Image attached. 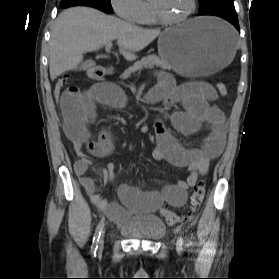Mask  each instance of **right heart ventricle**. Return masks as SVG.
<instances>
[{
	"label": "right heart ventricle",
	"mask_w": 279,
	"mask_h": 279,
	"mask_svg": "<svg viewBox=\"0 0 279 279\" xmlns=\"http://www.w3.org/2000/svg\"><path fill=\"white\" fill-rule=\"evenodd\" d=\"M138 23L145 25H154L158 23V20L155 18L152 12L149 0L144 2V10Z\"/></svg>",
	"instance_id": "1"
}]
</instances>
